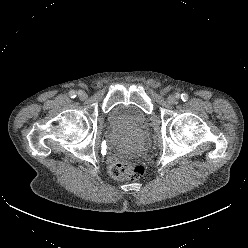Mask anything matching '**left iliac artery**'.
Masks as SVG:
<instances>
[{"instance_id":"left-iliac-artery-1","label":"left iliac artery","mask_w":248,"mask_h":248,"mask_svg":"<svg viewBox=\"0 0 248 248\" xmlns=\"http://www.w3.org/2000/svg\"><path fill=\"white\" fill-rule=\"evenodd\" d=\"M181 99L185 102L188 100V95L186 93L181 94Z\"/></svg>"}]
</instances>
